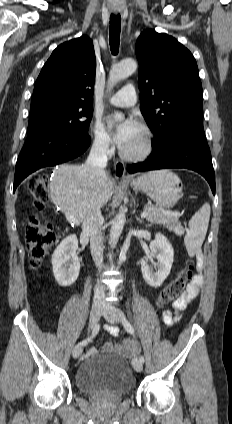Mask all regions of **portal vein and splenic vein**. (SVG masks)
<instances>
[{
  "instance_id": "1",
  "label": "portal vein and splenic vein",
  "mask_w": 232,
  "mask_h": 424,
  "mask_svg": "<svg viewBox=\"0 0 232 424\" xmlns=\"http://www.w3.org/2000/svg\"><path fill=\"white\" fill-rule=\"evenodd\" d=\"M165 213L168 214V215H174V216L179 215V213H172V212H165ZM65 216H66L67 220L72 224L78 225L80 223L77 219L73 218L69 214H65ZM147 216H148V212L144 211V212L141 213L142 218H146Z\"/></svg>"
}]
</instances>
